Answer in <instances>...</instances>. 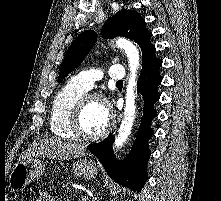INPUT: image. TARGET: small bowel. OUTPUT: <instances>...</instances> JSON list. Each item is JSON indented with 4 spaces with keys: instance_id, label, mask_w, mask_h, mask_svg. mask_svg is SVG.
Listing matches in <instances>:
<instances>
[{
    "instance_id": "small-bowel-1",
    "label": "small bowel",
    "mask_w": 221,
    "mask_h": 201,
    "mask_svg": "<svg viewBox=\"0 0 221 201\" xmlns=\"http://www.w3.org/2000/svg\"><path fill=\"white\" fill-rule=\"evenodd\" d=\"M35 201H54L50 194L42 192L36 196Z\"/></svg>"
}]
</instances>
